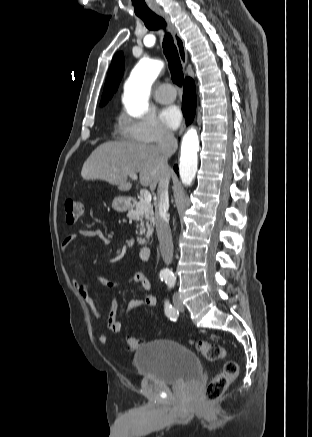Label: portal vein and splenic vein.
<instances>
[{"mask_svg":"<svg viewBox=\"0 0 312 437\" xmlns=\"http://www.w3.org/2000/svg\"><path fill=\"white\" fill-rule=\"evenodd\" d=\"M129 176H130V178H132L133 180H137V178H138L136 173H130ZM140 195H141V200H144V201H146V202H148V203L151 202L152 197H151V194H150V192H149L148 190H146V189H142V190L140 191Z\"/></svg>","mask_w":312,"mask_h":437,"instance_id":"1","label":"portal vein and splenic vein"}]
</instances>
